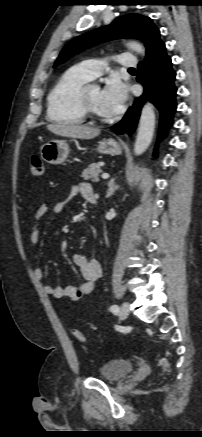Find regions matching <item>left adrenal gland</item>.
I'll return each mask as SVG.
<instances>
[{
    "instance_id": "obj_1",
    "label": "left adrenal gland",
    "mask_w": 202,
    "mask_h": 437,
    "mask_svg": "<svg viewBox=\"0 0 202 437\" xmlns=\"http://www.w3.org/2000/svg\"><path fill=\"white\" fill-rule=\"evenodd\" d=\"M118 189H119V186L115 184V178L111 179L108 182V190H107L106 197L108 198V197L112 196L115 193V191Z\"/></svg>"
}]
</instances>
